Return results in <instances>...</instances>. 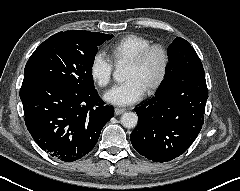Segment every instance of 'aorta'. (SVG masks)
I'll return each instance as SVG.
<instances>
[{
	"label": "aorta",
	"instance_id": "1",
	"mask_svg": "<svg viewBox=\"0 0 240 191\" xmlns=\"http://www.w3.org/2000/svg\"><path fill=\"white\" fill-rule=\"evenodd\" d=\"M126 73H125V68L122 64L116 65V69L113 72V78L118 81V82H123L125 80ZM138 123V116L134 112H125L121 116V124L125 128H134L136 127Z\"/></svg>",
	"mask_w": 240,
	"mask_h": 191
}]
</instances>
